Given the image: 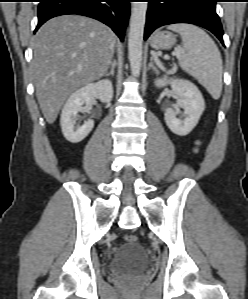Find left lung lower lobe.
Listing matches in <instances>:
<instances>
[{"mask_svg":"<svg viewBox=\"0 0 248 299\" xmlns=\"http://www.w3.org/2000/svg\"><path fill=\"white\" fill-rule=\"evenodd\" d=\"M144 39L158 27L175 23H190L211 31L224 45L223 29L216 13L217 0H147Z\"/></svg>","mask_w":248,"mask_h":299,"instance_id":"obj_1","label":"left lung lower lobe"}]
</instances>
